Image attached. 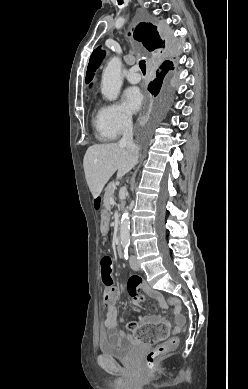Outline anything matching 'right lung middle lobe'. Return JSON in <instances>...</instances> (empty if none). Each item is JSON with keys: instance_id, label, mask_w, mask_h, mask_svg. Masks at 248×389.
Listing matches in <instances>:
<instances>
[{"instance_id": "1", "label": "right lung middle lobe", "mask_w": 248, "mask_h": 389, "mask_svg": "<svg viewBox=\"0 0 248 389\" xmlns=\"http://www.w3.org/2000/svg\"><path fill=\"white\" fill-rule=\"evenodd\" d=\"M160 92V98L167 99L171 93L172 88L167 81L163 82V79L157 84L156 89H153L151 93L155 94V96Z\"/></svg>"}]
</instances>
